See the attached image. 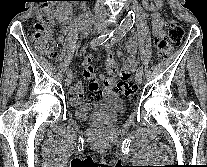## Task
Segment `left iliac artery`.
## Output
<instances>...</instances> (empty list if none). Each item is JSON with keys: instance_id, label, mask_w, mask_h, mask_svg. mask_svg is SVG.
<instances>
[{"instance_id": "obj_1", "label": "left iliac artery", "mask_w": 207, "mask_h": 167, "mask_svg": "<svg viewBox=\"0 0 207 167\" xmlns=\"http://www.w3.org/2000/svg\"><path fill=\"white\" fill-rule=\"evenodd\" d=\"M126 32L127 31L125 30H122V31L117 30L116 33L111 38V43L114 44L120 41L125 36ZM137 73L143 74V68L139 67L137 70Z\"/></svg>"}]
</instances>
